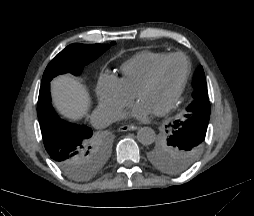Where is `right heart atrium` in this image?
I'll list each match as a JSON object with an SVG mask.
<instances>
[{
    "label": "right heart atrium",
    "mask_w": 254,
    "mask_h": 216,
    "mask_svg": "<svg viewBox=\"0 0 254 216\" xmlns=\"http://www.w3.org/2000/svg\"><path fill=\"white\" fill-rule=\"evenodd\" d=\"M97 96L102 106H115L119 110L126 108L133 98V95L122 87L118 79L109 76H103L99 80Z\"/></svg>",
    "instance_id": "right-heart-atrium-1"
}]
</instances>
